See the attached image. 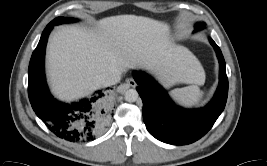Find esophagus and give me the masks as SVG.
I'll return each instance as SVG.
<instances>
[{
  "label": "esophagus",
  "mask_w": 267,
  "mask_h": 166,
  "mask_svg": "<svg viewBox=\"0 0 267 166\" xmlns=\"http://www.w3.org/2000/svg\"><path fill=\"white\" fill-rule=\"evenodd\" d=\"M136 85H137V83L135 82V80L133 78H129L126 80V83H124L118 87V91L122 93L123 91H125V89L130 88V87L134 88V87H136Z\"/></svg>",
  "instance_id": "1"
}]
</instances>
